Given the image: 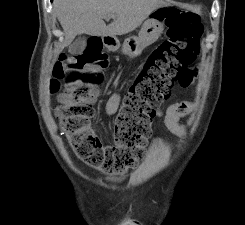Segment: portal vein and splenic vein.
<instances>
[{
    "label": "portal vein and splenic vein",
    "mask_w": 245,
    "mask_h": 225,
    "mask_svg": "<svg viewBox=\"0 0 245 225\" xmlns=\"http://www.w3.org/2000/svg\"><path fill=\"white\" fill-rule=\"evenodd\" d=\"M105 18H106V19H110V18L115 19V18H116V16H115V15H113V14H109V15L105 16Z\"/></svg>",
    "instance_id": "portal-vein-and-splenic-vein-1"
}]
</instances>
